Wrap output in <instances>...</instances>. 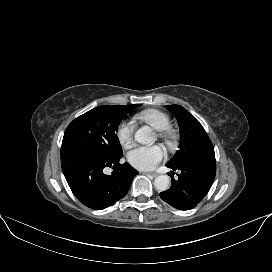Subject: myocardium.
Segmentation results:
<instances>
[{
	"instance_id": "myocardium-1",
	"label": "myocardium",
	"mask_w": 272,
	"mask_h": 272,
	"mask_svg": "<svg viewBox=\"0 0 272 272\" xmlns=\"http://www.w3.org/2000/svg\"><path fill=\"white\" fill-rule=\"evenodd\" d=\"M159 136L166 141H170L174 137V132L170 128H167L159 131Z\"/></svg>"
}]
</instances>
